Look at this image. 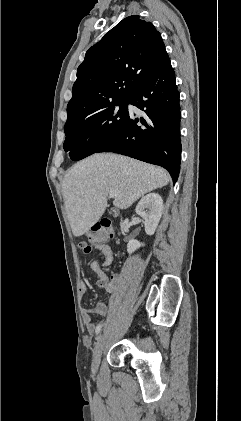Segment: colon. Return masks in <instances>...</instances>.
Here are the masks:
<instances>
[{
  "mask_svg": "<svg viewBox=\"0 0 241 421\" xmlns=\"http://www.w3.org/2000/svg\"><path fill=\"white\" fill-rule=\"evenodd\" d=\"M113 234L114 229L111 222L102 220L92 227V234L89 237V242L83 241L79 243V249L84 254H90L94 247L106 242L109 238L113 237Z\"/></svg>",
  "mask_w": 241,
  "mask_h": 421,
  "instance_id": "obj_1",
  "label": "colon"
}]
</instances>
